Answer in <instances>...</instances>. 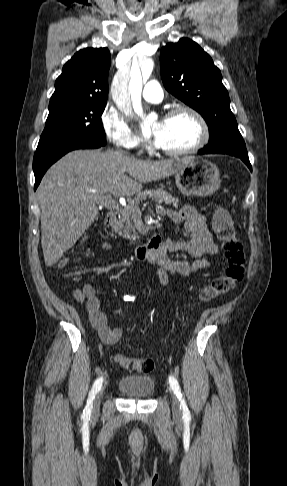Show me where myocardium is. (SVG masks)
<instances>
[{
	"mask_svg": "<svg viewBox=\"0 0 287 486\" xmlns=\"http://www.w3.org/2000/svg\"><path fill=\"white\" fill-rule=\"evenodd\" d=\"M182 114L190 115L197 122L199 127V138L195 144L183 149L171 150L157 146L156 149L164 155L178 157L193 154L202 149L209 141L210 131L208 124L202 114L192 107L180 106L173 108L165 115L164 119H171Z\"/></svg>",
	"mask_w": 287,
	"mask_h": 486,
	"instance_id": "obj_1",
	"label": "myocardium"
}]
</instances>
